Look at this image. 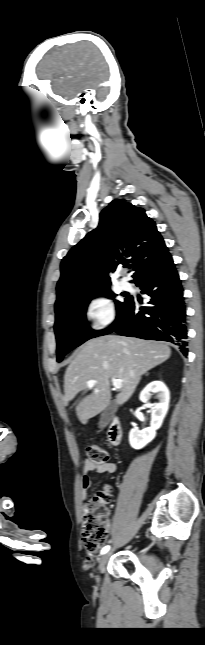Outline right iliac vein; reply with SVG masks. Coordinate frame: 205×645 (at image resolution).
<instances>
[{
    "mask_svg": "<svg viewBox=\"0 0 205 645\" xmlns=\"http://www.w3.org/2000/svg\"><path fill=\"white\" fill-rule=\"evenodd\" d=\"M112 552H107L103 556L100 557L99 559V564H98V571L100 572L103 568V566L107 563L111 556ZM97 581H99V577H97Z\"/></svg>",
    "mask_w": 205,
    "mask_h": 645,
    "instance_id": "right-iliac-vein-1",
    "label": "right iliac vein"
}]
</instances>
